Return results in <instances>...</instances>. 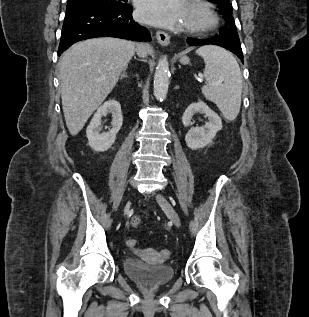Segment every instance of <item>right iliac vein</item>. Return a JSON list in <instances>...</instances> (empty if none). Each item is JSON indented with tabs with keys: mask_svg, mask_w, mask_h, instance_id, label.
Instances as JSON below:
<instances>
[{
	"mask_svg": "<svg viewBox=\"0 0 309 317\" xmlns=\"http://www.w3.org/2000/svg\"><path fill=\"white\" fill-rule=\"evenodd\" d=\"M129 208H130V202H128V203L126 204L125 210L128 211Z\"/></svg>",
	"mask_w": 309,
	"mask_h": 317,
	"instance_id": "obj_1",
	"label": "right iliac vein"
}]
</instances>
